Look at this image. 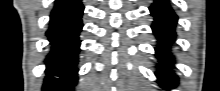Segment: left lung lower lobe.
I'll list each match as a JSON object with an SVG mask.
<instances>
[{"label":"left lung lower lobe","instance_id":"0a47b994","mask_svg":"<svg viewBox=\"0 0 220 91\" xmlns=\"http://www.w3.org/2000/svg\"><path fill=\"white\" fill-rule=\"evenodd\" d=\"M150 12L154 16L152 30L158 40L155 53L159 63L155 75L162 88H175L179 80L173 71L175 57L171 53V46L176 40L175 28L178 18L167 0H155Z\"/></svg>","mask_w":220,"mask_h":91}]
</instances>
